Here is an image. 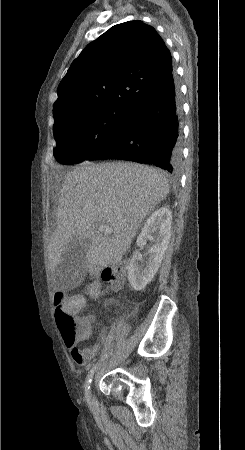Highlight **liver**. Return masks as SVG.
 <instances>
[{"mask_svg": "<svg viewBox=\"0 0 245 450\" xmlns=\"http://www.w3.org/2000/svg\"><path fill=\"white\" fill-rule=\"evenodd\" d=\"M166 177L157 169L130 162L83 164L64 176L56 213V229L49 240L51 271L75 238L91 242L86 255L89 273L121 262L140 224L169 194ZM113 228L112 235L94 231L95 225ZM91 296L99 295L95 284ZM85 299H66L62 310L75 314Z\"/></svg>", "mask_w": 245, "mask_h": 450, "instance_id": "1", "label": "liver"}]
</instances>
